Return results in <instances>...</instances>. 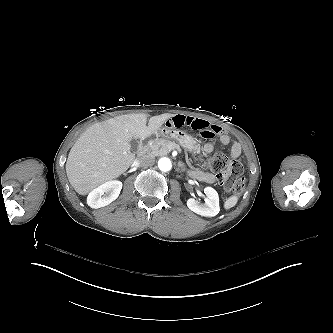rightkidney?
<instances>
[{
	"label": "right kidney",
	"instance_id": "right-kidney-1",
	"mask_svg": "<svg viewBox=\"0 0 333 333\" xmlns=\"http://www.w3.org/2000/svg\"><path fill=\"white\" fill-rule=\"evenodd\" d=\"M121 189L122 182L118 180L107 181L88 194L87 204L94 209L107 206L118 198Z\"/></svg>",
	"mask_w": 333,
	"mask_h": 333
}]
</instances>
